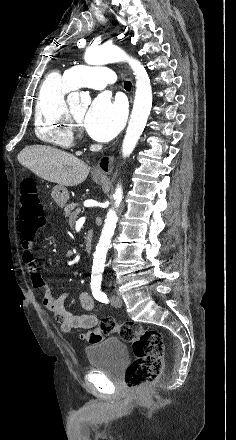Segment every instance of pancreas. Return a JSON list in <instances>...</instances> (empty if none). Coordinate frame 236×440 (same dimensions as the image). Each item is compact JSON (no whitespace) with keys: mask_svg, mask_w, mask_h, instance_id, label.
<instances>
[{"mask_svg":"<svg viewBox=\"0 0 236 440\" xmlns=\"http://www.w3.org/2000/svg\"><path fill=\"white\" fill-rule=\"evenodd\" d=\"M78 204L77 203H71L68 204L65 208H64V215L65 217H69L72 220H75V218L77 217L76 212H72L75 207H77Z\"/></svg>","mask_w":236,"mask_h":440,"instance_id":"obj_1","label":"pancreas"}]
</instances>
